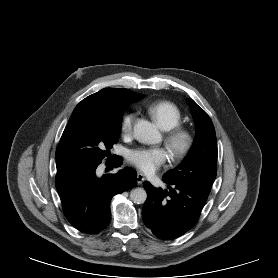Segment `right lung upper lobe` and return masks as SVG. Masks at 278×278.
<instances>
[{
  "instance_id": "right-lung-upper-lobe-1",
  "label": "right lung upper lobe",
  "mask_w": 278,
  "mask_h": 278,
  "mask_svg": "<svg viewBox=\"0 0 278 278\" xmlns=\"http://www.w3.org/2000/svg\"><path fill=\"white\" fill-rule=\"evenodd\" d=\"M145 95L134 93L128 89L120 88H105L97 93H94L78 105L93 104L99 107H116L118 104L123 102H132L135 99H141Z\"/></svg>"
}]
</instances>
